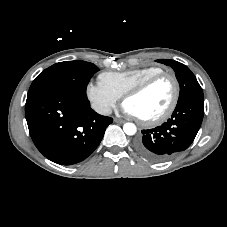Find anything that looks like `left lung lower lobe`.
<instances>
[{
    "label": "left lung lower lobe",
    "instance_id": "0a47b994",
    "mask_svg": "<svg viewBox=\"0 0 227 227\" xmlns=\"http://www.w3.org/2000/svg\"><path fill=\"white\" fill-rule=\"evenodd\" d=\"M204 98L189 97L177 103L171 118L153 129L142 130L136 151L148 160L160 162L187 149L196 137L204 115Z\"/></svg>",
    "mask_w": 227,
    "mask_h": 227
}]
</instances>
